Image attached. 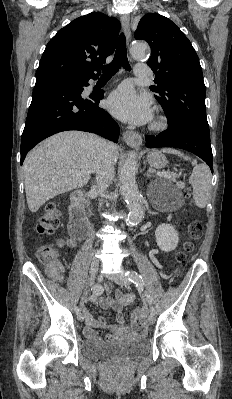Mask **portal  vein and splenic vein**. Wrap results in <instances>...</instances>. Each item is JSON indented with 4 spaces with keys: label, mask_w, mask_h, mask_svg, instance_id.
Instances as JSON below:
<instances>
[{
    "label": "portal vein and splenic vein",
    "mask_w": 232,
    "mask_h": 399,
    "mask_svg": "<svg viewBox=\"0 0 232 399\" xmlns=\"http://www.w3.org/2000/svg\"><path fill=\"white\" fill-rule=\"evenodd\" d=\"M157 176H163V174H157Z\"/></svg>",
    "instance_id": "18ae733b"
}]
</instances>
